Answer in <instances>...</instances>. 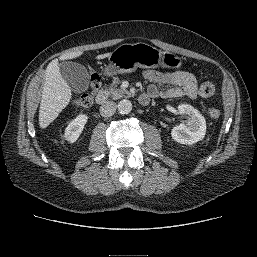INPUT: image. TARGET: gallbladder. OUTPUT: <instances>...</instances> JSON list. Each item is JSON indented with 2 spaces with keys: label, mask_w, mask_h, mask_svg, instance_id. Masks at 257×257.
Here are the masks:
<instances>
[{
  "label": "gallbladder",
  "mask_w": 257,
  "mask_h": 257,
  "mask_svg": "<svg viewBox=\"0 0 257 257\" xmlns=\"http://www.w3.org/2000/svg\"><path fill=\"white\" fill-rule=\"evenodd\" d=\"M59 69L62 77L72 91L76 93L84 92L89 87V74L87 69L76 62H61Z\"/></svg>",
  "instance_id": "gallbladder-1"
}]
</instances>
